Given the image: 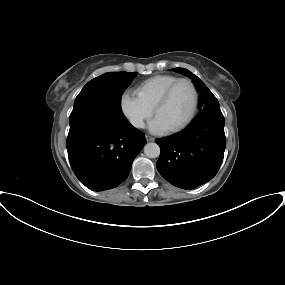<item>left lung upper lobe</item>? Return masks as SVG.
Segmentation results:
<instances>
[{
  "label": "left lung upper lobe",
  "mask_w": 285,
  "mask_h": 285,
  "mask_svg": "<svg viewBox=\"0 0 285 285\" xmlns=\"http://www.w3.org/2000/svg\"><path fill=\"white\" fill-rule=\"evenodd\" d=\"M173 70L193 79V82L200 94L199 106L201 107V110L197 117L206 113H221L218 100L196 75L184 68H173Z\"/></svg>",
  "instance_id": "5c2ea615"
}]
</instances>
